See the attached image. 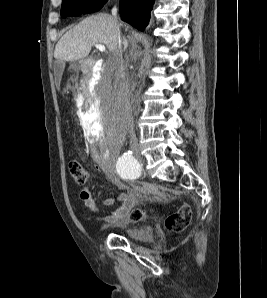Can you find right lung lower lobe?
<instances>
[{"label": "right lung lower lobe", "mask_w": 267, "mask_h": 298, "mask_svg": "<svg viewBox=\"0 0 267 298\" xmlns=\"http://www.w3.org/2000/svg\"><path fill=\"white\" fill-rule=\"evenodd\" d=\"M154 0H120L121 19L143 31L150 19Z\"/></svg>", "instance_id": "right-lung-lower-lobe-1"}]
</instances>
